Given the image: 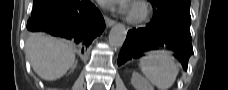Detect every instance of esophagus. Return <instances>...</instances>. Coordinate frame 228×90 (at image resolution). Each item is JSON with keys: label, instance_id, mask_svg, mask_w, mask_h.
<instances>
[{"label": "esophagus", "instance_id": "34e87169", "mask_svg": "<svg viewBox=\"0 0 228 90\" xmlns=\"http://www.w3.org/2000/svg\"><path fill=\"white\" fill-rule=\"evenodd\" d=\"M105 23H106V26L107 27H111V26H113L114 24H115V21L113 20V19H111V18H109V17H105Z\"/></svg>", "mask_w": 228, "mask_h": 90}]
</instances>
